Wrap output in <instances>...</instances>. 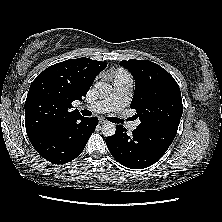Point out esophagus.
Masks as SVG:
<instances>
[{"label": "esophagus", "mask_w": 222, "mask_h": 222, "mask_svg": "<svg viewBox=\"0 0 222 222\" xmlns=\"http://www.w3.org/2000/svg\"><path fill=\"white\" fill-rule=\"evenodd\" d=\"M99 123H100V124H105V123H107V121H105L104 119H100V120H99Z\"/></svg>", "instance_id": "1"}]
</instances>
